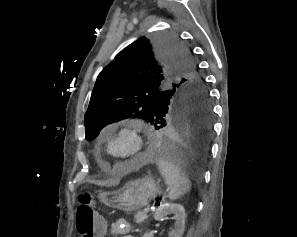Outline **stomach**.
<instances>
[{
	"instance_id": "stomach-1",
	"label": "stomach",
	"mask_w": 297,
	"mask_h": 237,
	"mask_svg": "<svg viewBox=\"0 0 297 237\" xmlns=\"http://www.w3.org/2000/svg\"><path fill=\"white\" fill-rule=\"evenodd\" d=\"M160 192L158 183L153 177L147 175L127 182L118 191L102 193L99 197L109 207L125 212H133L146 206Z\"/></svg>"
}]
</instances>
